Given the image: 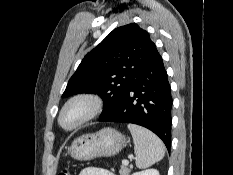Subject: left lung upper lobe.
<instances>
[{"label": "left lung upper lobe", "mask_w": 233, "mask_h": 175, "mask_svg": "<svg viewBox=\"0 0 233 175\" xmlns=\"http://www.w3.org/2000/svg\"><path fill=\"white\" fill-rule=\"evenodd\" d=\"M155 50L148 32L137 24L114 29L83 58L62 97L75 93L99 94L104 101L101 120L117 108Z\"/></svg>", "instance_id": "5c2ea615"}]
</instances>
